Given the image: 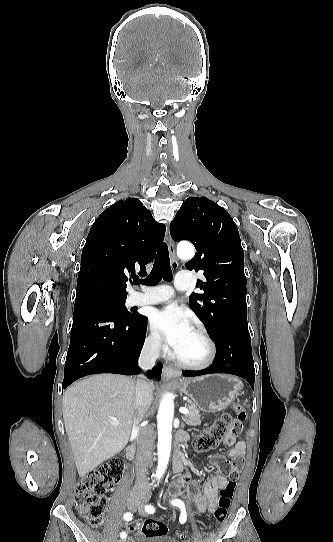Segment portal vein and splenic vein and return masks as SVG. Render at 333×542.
Segmentation results:
<instances>
[{"mask_svg":"<svg viewBox=\"0 0 333 542\" xmlns=\"http://www.w3.org/2000/svg\"><path fill=\"white\" fill-rule=\"evenodd\" d=\"M180 414H189V410L187 408H179ZM112 426H120V422H110Z\"/></svg>","mask_w":333,"mask_h":542,"instance_id":"1","label":"portal vein and splenic vein"}]
</instances>
